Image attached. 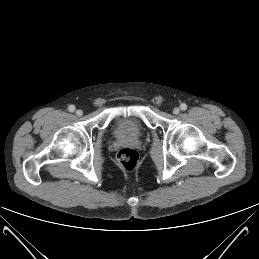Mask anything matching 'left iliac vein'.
<instances>
[{
  "label": "left iliac vein",
  "instance_id": "1",
  "mask_svg": "<svg viewBox=\"0 0 259 259\" xmlns=\"http://www.w3.org/2000/svg\"><path fill=\"white\" fill-rule=\"evenodd\" d=\"M179 112H180V109L178 107H175L173 109V114L177 115V114H179Z\"/></svg>",
  "mask_w": 259,
  "mask_h": 259
}]
</instances>
